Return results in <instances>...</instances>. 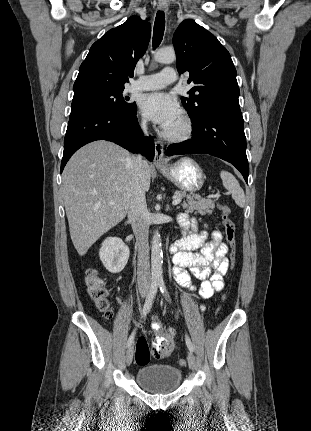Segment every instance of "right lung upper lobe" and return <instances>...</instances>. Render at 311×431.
Segmentation results:
<instances>
[{
	"mask_svg": "<svg viewBox=\"0 0 311 431\" xmlns=\"http://www.w3.org/2000/svg\"><path fill=\"white\" fill-rule=\"evenodd\" d=\"M150 35V24L138 16L105 33L91 46L82 62L74 93L124 90V83L133 77L136 62L148 47Z\"/></svg>",
	"mask_w": 311,
	"mask_h": 431,
	"instance_id": "right-lung-upper-lobe-1",
	"label": "right lung upper lobe"
}]
</instances>
